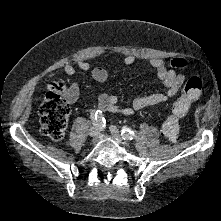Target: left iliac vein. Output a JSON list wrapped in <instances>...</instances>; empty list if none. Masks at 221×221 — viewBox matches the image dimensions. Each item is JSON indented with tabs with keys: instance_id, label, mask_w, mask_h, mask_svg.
I'll return each instance as SVG.
<instances>
[{
	"instance_id": "1",
	"label": "left iliac vein",
	"mask_w": 221,
	"mask_h": 221,
	"mask_svg": "<svg viewBox=\"0 0 221 221\" xmlns=\"http://www.w3.org/2000/svg\"><path fill=\"white\" fill-rule=\"evenodd\" d=\"M109 130H110V132L113 134V136L116 137V138L119 140V142H120L121 144H123V145L125 144V142H124V140H123V137H122V135L120 134L119 129H118L116 126L110 125V126H109Z\"/></svg>"
}]
</instances>
